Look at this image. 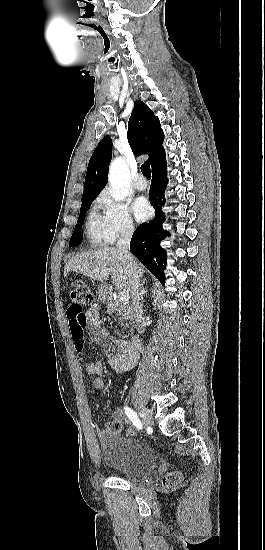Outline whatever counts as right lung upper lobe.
I'll use <instances>...</instances> for the list:
<instances>
[{"label": "right lung upper lobe", "instance_id": "obj_1", "mask_svg": "<svg viewBox=\"0 0 265 550\" xmlns=\"http://www.w3.org/2000/svg\"><path fill=\"white\" fill-rule=\"evenodd\" d=\"M164 133L158 117L142 101L135 103L128 122V141L134 154H148L153 168L165 158ZM112 158V140L105 136L89 161L82 199L96 198L106 186Z\"/></svg>", "mask_w": 265, "mask_h": 550}]
</instances>
